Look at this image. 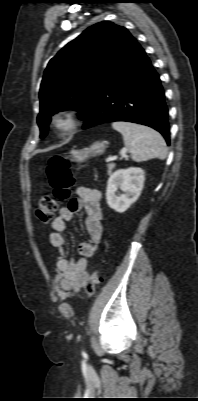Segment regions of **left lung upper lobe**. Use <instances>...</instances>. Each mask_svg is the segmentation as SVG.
Returning a JSON list of instances; mask_svg holds the SVG:
<instances>
[{"label": "left lung upper lobe", "instance_id": "5c2ea615", "mask_svg": "<svg viewBox=\"0 0 198 401\" xmlns=\"http://www.w3.org/2000/svg\"><path fill=\"white\" fill-rule=\"evenodd\" d=\"M137 41L122 26L97 23L64 46L44 72L40 87V137L48 132L51 116L76 109L84 119L95 98Z\"/></svg>", "mask_w": 198, "mask_h": 401}]
</instances>
